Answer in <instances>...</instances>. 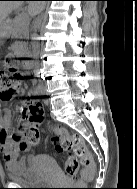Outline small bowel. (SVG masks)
I'll return each mask as SVG.
<instances>
[{
	"label": "small bowel",
	"instance_id": "c3829d8e",
	"mask_svg": "<svg viewBox=\"0 0 137 189\" xmlns=\"http://www.w3.org/2000/svg\"><path fill=\"white\" fill-rule=\"evenodd\" d=\"M3 100V99H2ZM26 104H22L20 108V123L22 128L27 125L26 113L24 107ZM12 120V111L6 109L2 111L0 109V150L3 154V160L7 171H19L27 166V160L21 158V152L27 151L29 146L24 145L20 140L16 138L17 134L10 135L9 129ZM29 159H32L30 156Z\"/></svg>",
	"mask_w": 137,
	"mask_h": 189
}]
</instances>
